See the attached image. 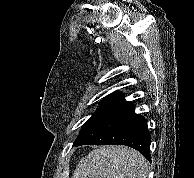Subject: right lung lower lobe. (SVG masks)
I'll return each mask as SVG.
<instances>
[{
  "label": "right lung lower lobe",
  "instance_id": "1",
  "mask_svg": "<svg viewBox=\"0 0 194 178\" xmlns=\"http://www.w3.org/2000/svg\"><path fill=\"white\" fill-rule=\"evenodd\" d=\"M150 142L145 118L134 112L132 103H127L74 142V146L126 145L138 150L150 160Z\"/></svg>",
  "mask_w": 194,
  "mask_h": 178
}]
</instances>
